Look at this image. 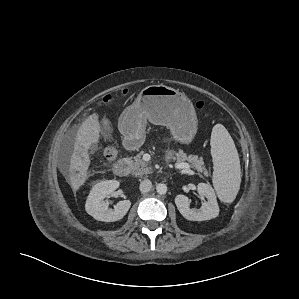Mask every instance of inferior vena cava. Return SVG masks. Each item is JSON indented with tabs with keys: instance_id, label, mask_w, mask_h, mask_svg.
Masks as SVG:
<instances>
[{
	"instance_id": "inferior-vena-cava-1",
	"label": "inferior vena cava",
	"mask_w": 299,
	"mask_h": 299,
	"mask_svg": "<svg viewBox=\"0 0 299 299\" xmlns=\"http://www.w3.org/2000/svg\"><path fill=\"white\" fill-rule=\"evenodd\" d=\"M151 188H152V183L149 179H144L143 181H141L139 189L142 193H146L150 191Z\"/></svg>"
}]
</instances>
